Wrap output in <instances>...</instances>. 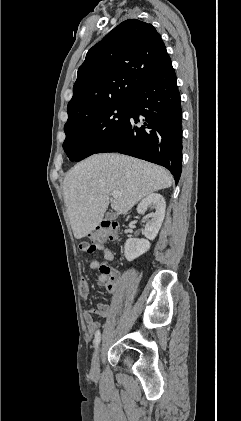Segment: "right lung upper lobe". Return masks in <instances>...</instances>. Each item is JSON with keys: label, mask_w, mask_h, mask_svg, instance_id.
Listing matches in <instances>:
<instances>
[{"label": "right lung upper lobe", "mask_w": 241, "mask_h": 421, "mask_svg": "<svg viewBox=\"0 0 241 421\" xmlns=\"http://www.w3.org/2000/svg\"><path fill=\"white\" fill-rule=\"evenodd\" d=\"M169 57L153 25L120 23L94 45L79 67L64 127L117 102L129 100Z\"/></svg>", "instance_id": "1"}]
</instances>
